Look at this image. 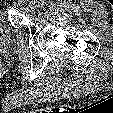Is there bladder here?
Instances as JSON below:
<instances>
[{"label": "bladder", "instance_id": "bladder-1", "mask_svg": "<svg viewBox=\"0 0 113 113\" xmlns=\"http://www.w3.org/2000/svg\"><path fill=\"white\" fill-rule=\"evenodd\" d=\"M12 30L7 22L4 12L0 9V50L12 42Z\"/></svg>", "mask_w": 113, "mask_h": 113}]
</instances>
